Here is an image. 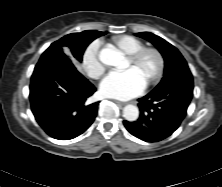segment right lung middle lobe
Instances as JSON below:
<instances>
[{
  "label": "right lung middle lobe",
  "instance_id": "obj_1",
  "mask_svg": "<svg viewBox=\"0 0 222 187\" xmlns=\"http://www.w3.org/2000/svg\"><path fill=\"white\" fill-rule=\"evenodd\" d=\"M104 32L87 30L81 33H72L54 42L46 51L63 53L69 52L71 59L82 61L83 53L90 42L104 35Z\"/></svg>",
  "mask_w": 222,
  "mask_h": 187
}]
</instances>
